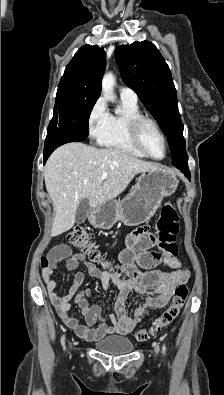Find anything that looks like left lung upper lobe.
Instances as JSON below:
<instances>
[{"label": "left lung upper lobe", "mask_w": 224, "mask_h": 395, "mask_svg": "<svg viewBox=\"0 0 224 395\" xmlns=\"http://www.w3.org/2000/svg\"><path fill=\"white\" fill-rule=\"evenodd\" d=\"M114 55L123 81L137 93L167 136L172 160L181 158L186 150L176 89L159 50L149 41H136L118 46Z\"/></svg>", "instance_id": "5c2ea615"}]
</instances>
